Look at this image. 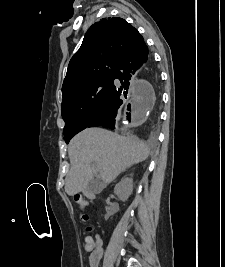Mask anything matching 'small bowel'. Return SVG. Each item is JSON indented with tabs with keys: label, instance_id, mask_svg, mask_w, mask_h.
Wrapping results in <instances>:
<instances>
[{
	"label": "small bowel",
	"instance_id": "small-bowel-1",
	"mask_svg": "<svg viewBox=\"0 0 225 267\" xmlns=\"http://www.w3.org/2000/svg\"><path fill=\"white\" fill-rule=\"evenodd\" d=\"M91 254L89 256V263L92 267H94V264L102 257L103 251L100 245V240H98L97 245L90 250Z\"/></svg>",
	"mask_w": 225,
	"mask_h": 267
}]
</instances>
